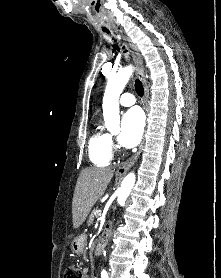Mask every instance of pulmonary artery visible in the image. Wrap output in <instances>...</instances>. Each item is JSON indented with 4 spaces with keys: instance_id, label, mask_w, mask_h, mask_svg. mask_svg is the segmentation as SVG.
I'll return each mask as SVG.
<instances>
[{
    "instance_id": "pulmonary-artery-1",
    "label": "pulmonary artery",
    "mask_w": 221,
    "mask_h": 278,
    "mask_svg": "<svg viewBox=\"0 0 221 278\" xmlns=\"http://www.w3.org/2000/svg\"><path fill=\"white\" fill-rule=\"evenodd\" d=\"M135 102H136L135 97L132 94H130V93L122 94L120 99H119V103L122 106H125V107L132 106V105L135 104Z\"/></svg>"
}]
</instances>
